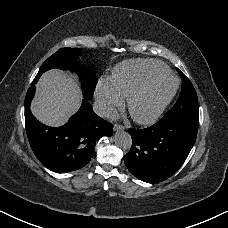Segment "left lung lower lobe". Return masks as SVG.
I'll return each mask as SVG.
<instances>
[{
    "mask_svg": "<svg viewBox=\"0 0 228 228\" xmlns=\"http://www.w3.org/2000/svg\"><path fill=\"white\" fill-rule=\"evenodd\" d=\"M197 131L198 126L190 123L166 125L160 122L141 130L129 129L132 146L124 156L125 164L141 181H164L186 160Z\"/></svg>",
    "mask_w": 228,
    "mask_h": 228,
    "instance_id": "obj_1",
    "label": "left lung lower lobe"
}]
</instances>
